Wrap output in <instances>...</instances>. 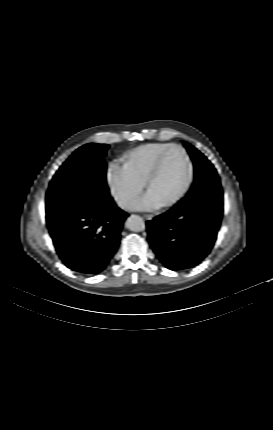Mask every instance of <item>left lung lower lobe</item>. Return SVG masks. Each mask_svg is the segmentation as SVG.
Masks as SVG:
<instances>
[{
  "label": "left lung lower lobe",
  "instance_id": "0a47b994",
  "mask_svg": "<svg viewBox=\"0 0 273 430\" xmlns=\"http://www.w3.org/2000/svg\"><path fill=\"white\" fill-rule=\"evenodd\" d=\"M222 199L220 182L206 181L171 210L147 221L150 246L167 268H192L210 253L221 224Z\"/></svg>",
  "mask_w": 273,
  "mask_h": 430
}]
</instances>
